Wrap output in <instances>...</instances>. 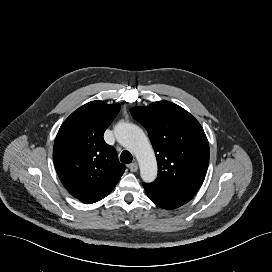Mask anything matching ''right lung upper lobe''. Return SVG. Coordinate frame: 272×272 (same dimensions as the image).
Masks as SVG:
<instances>
[{"mask_svg": "<svg viewBox=\"0 0 272 272\" xmlns=\"http://www.w3.org/2000/svg\"><path fill=\"white\" fill-rule=\"evenodd\" d=\"M119 109V104L89 102L64 121L56 136L57 174L67 191L85 204L106 197L125 171L115 149L103 139Z\"/></svg>", "mask_w": 272, "mask_h": 272, "instance_id": "cb5924a9", "label": "right lung upper lobe"}]
</instances>
